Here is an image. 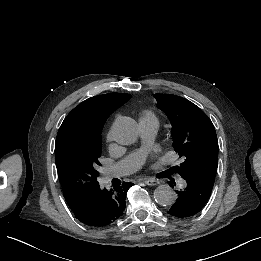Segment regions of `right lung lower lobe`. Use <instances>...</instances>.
<instances>
[{
	"label": "right lung lower lobe",
	"instance_id": "obj_1",
	"mask_svg": "<svg viewBox=\"0 0 261 261\" xmlns=\"http://www.w3.org/2000/svg\"><path fill=\"white\" fill-rule=\"evenodd\" d=\"M133 185L124 182L114 189H101L99 183L81 198L68 205L75 217L83 224L94 227L106 226L116 221L125 210V196Z\"/></svg>",
	"mask_w": 261,
	"mask_h": 261
}]
</instances>
